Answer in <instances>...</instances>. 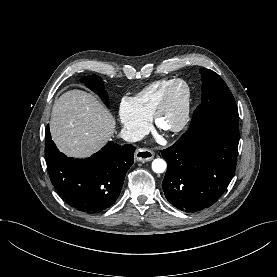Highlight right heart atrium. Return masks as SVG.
<instances>
[{
  "label": "right heart atrium",
  "instance_id": "d8ad5b80",
  "mask_svg": "<svg viewBox=\"0 0 277 277\" xmlns=\"http://www.w3.org/2000/svg\"><path fill=\"white\" fill-rule=\"evenodd\" d=\"M119 119L123 132L129 139L138 137L148 126V119L136 111L130 98H123L121 100Z\"/></svg>",
  "mask_w": 277,
  "mask_h": 277
}]
</instances>
